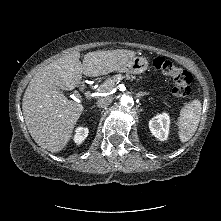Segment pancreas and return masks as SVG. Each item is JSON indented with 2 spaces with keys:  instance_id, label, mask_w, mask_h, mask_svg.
Wrapping results in <instances>:
<instances>
[{
  "instance_id": "1",
  "label": "pancreas",
  "mask_w": 221,
  "mask_h": 221,
  "mask_svg": "<svg viewBox=\"0 0 221 221\" xmlns=\"http://www.w3.org/2000/svg\"><path fill=\"white\" fill-rule=\"evenodd\" d=\"M123 78H127V79H136L135 76H123L121 74H117L113 77L108 78L101 86H100V90L102 91H110L116 82H119L120 80H122Z\"/></svg>"
}]
</instances>
